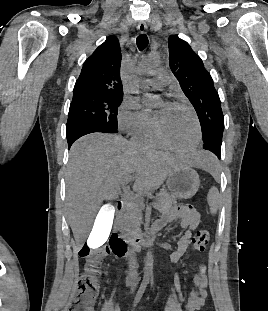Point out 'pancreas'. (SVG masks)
Segmentation results:
<instances>
[{"mask_svg": "<svg viewBox=\"0 0 268 311\" xmlns=\"http://www.w3.org/2000/svg\"><path fill=\"white\" fill-rule=\"evenodd\" d=\"M176 203L177 200L175 197L167 191H162L158 194L154 205L159 212H165ZM144 207L145 205L142 200L132 199L129 201L127 210L119 216L116 222L117 228L124 236L131 235L139 230Z\"/></svg>", "mask_w": 268, "mask_h": 311, "instance_id": "1", "label": "pancreas"}]
</instances>
